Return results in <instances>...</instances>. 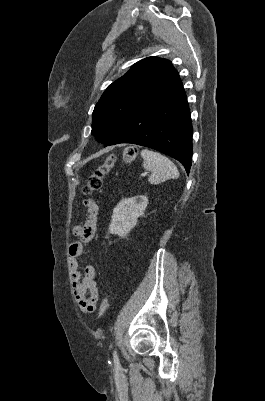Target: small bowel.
I'll return each mask as SVG.
<instances>
[{
  "label": "small bowel",
  "mask_w": 265,
  "mask_h": 401,
  "mask_svg": "<svg viewBox=\"0 0 265 401\" xmlns=\"http://www.w3.org/2000/svg\"><path fill=\"white\" fill-rule=\"evenodd\" d=\"M83 207L87 212L84 223L77 224L73 228V233L78 240L69 247L70 270L73 284V293L76 303L84 313H92L97 308L99 298V287L96 282V269L87 265L83 274L80 271L81 255L85 244L89 243L95 236L98 220V203L94 198H88L83 202Z\"/></svg>",
  "instance_id": "obj_1"
}]
</instances>
